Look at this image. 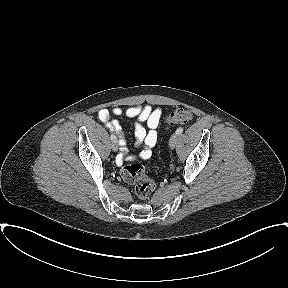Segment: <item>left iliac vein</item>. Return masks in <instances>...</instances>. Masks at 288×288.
I'll use <instances>...</instances> for the list:
<instances>
[{"label": "left iliac vein", "instance_id": "obj_1", "mask_svg": "<svg viewBox=\"0 0 288 288\" xmlns=\"http://www.w3.org/2000/svg\"><path fill=\"white\" fill-rule=\"evenodd\" d=\"M177 141H178V135L175 133L171 136V138L169 140L170 148H174L177 144Z\"/></svg>", "mask_w": 288, "mask_h": 288}]
</instances>
